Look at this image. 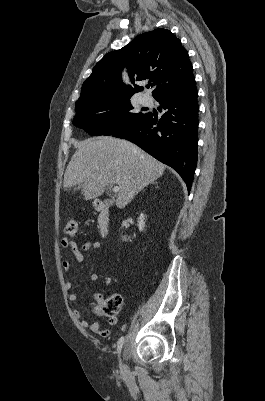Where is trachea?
Segmentation results:
<instances>
[{"label":"trachea","instance_id":"trachea-1","mask_svg":"<svg viewBox=\"0 0 265 401\" xmlns=\"http://www.w3.org/2000/svg\"><path fill=\"white\" fill-rule=\"evenodd\" d=\"M151 86V84L149 83L148 85H147V88H149Z\"/></svg>","mask_w":265,"mask_h":401}]
</instances>
